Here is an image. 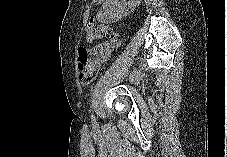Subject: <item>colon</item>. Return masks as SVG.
<instances>
[{"label": "colon", "mask_w": 227, "mask_h": 157, "mask_svg": "<svg viewBox=\"0 0 227 157\" xmlns=\"http://www.w3.org/2000/svg\"><path fill=\"white\" fill-rule=\"evenodd\" d=\"M86 36L90 42L100 40L105 36L109 38L93 46L79 49L78 70L82 84H88L94 79L98 67L107 61L121 44V38L117 32L94 19L86 25Z\"/></svg>", "instance_id": "5ec220e1"}]
</instances>
